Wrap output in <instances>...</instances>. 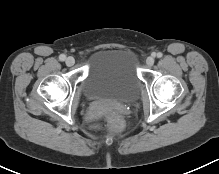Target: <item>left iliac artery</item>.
I'll return each mask as SVG.
<instances>
[{
    "label": "left iliac artery",
    "instance_id": "44dca946",
    "mask_svg": "<svg viewBox=\"0 0 219 174\" xmlns=\"http://www.w3.org/2000/svg\"><path fill=\"white\" fill-rule=\"evenodd\" d=\"M156 56H157L158 58H161V57H162V53H161V52H158V53L156 54Z\"/></svg>",
    "mask_w": 219,
    "mask_h": 174
}]
</instances>
